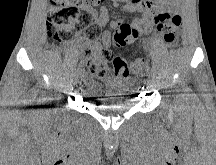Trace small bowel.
I'll use <instances>...</instances> for the list:
<instances>
[{
	"instance_id": "c3829d8e",
	"label": "small bowel",
	"mask_w": 216,
	"mask_h": 165,
	"mask_svg": "<svg viewBox=\"0 0 216 165\" xmlns=\"http://www.w3.org/2000/svg\"><path fill=\"white\" fill-rule=\"evenodd\" d=\"M114 5L124 4L123 8L127 12H140L142 13V18L135 19L132 23V27L136 30L137 35L133 37L129 43L136 40L141 34L149 31L151 25L156 20V18L172 10V8L179 7L180 0H112ZM91 14L94 20L100 26H106L111 23L112 26L120 24L119 22H110L107 7H101L99 10H91ZM111 44V32L106 30L102 34V39L100 42L94 45V50L96 52H101L102 50L108 48ZM122 76H129V74L118 73Z\"/></svg>"
}]
</instances>
